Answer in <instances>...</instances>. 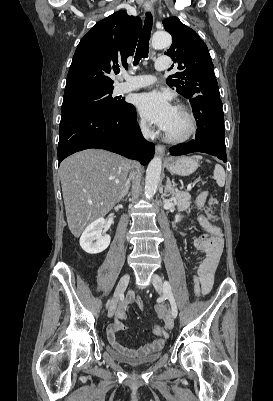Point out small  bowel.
Here are the masks:
<instances>
[{
  "mask_svg": "<svg viewBox=\"0 0 273 401\" xmlns=\"http://www.w3.org/2000/svg\"><path fill=\"white\" fill-rule=\"evenodd\" d=\"M198 223L201 224L203 230L207 228H216L212 226L210 218L208 215H200L197 218ZM217 232H220L216 228ZM193 246L204 253V259L198 268V278L201 287L202 294H208L213 287L215 273L218 266L219 259L223 252V239L221 241H206L205 235L199 239H193ZM136 293H130L127 295L124 302H122L118 308L113 322L109 325L107 329V337L110 344L118 351L129 352L131 351L127 346L122 344L118 338V333L127 331L128 327L125 325L126 310L128 306L135 305ZM170 310L168 305H154L153 311L157 312L156 316L162 319L167 317V312ZM153 332L157 334L156 340L147 343L142 348L134 351L138 356H144L147 354H155L159 351L162 345L167 343L168 335L163 332L159 327H153Z\"/></svg>",
  "mask_w": 273,
  "mask_h": 401,
  "instance_id": "c3829d8e",
  "label": "small bowel"
}]
</instances>
